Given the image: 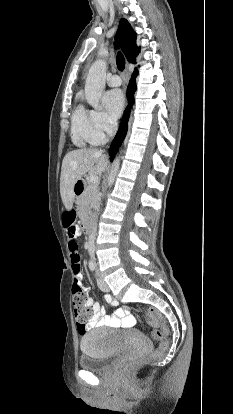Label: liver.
I'll return each instance as SVG.
<instances>
[{
  "label": "liver",
  "instance_id": "6515ba94",
  "mask_svg": "<svg viewBox=\"0 0 233 414\" xmlns=\"http://www.w3.org/2000/svg\"><path fill=\"white\" fill-rule=\"evenodd\" d=\"M108 166V157L97 149H77L67 153L62 161L60 194L67 210L74 202V185L85 173L100 176Z\"/></svg>",
  "mask_w": 233,
  "mask_h": 414
}]
</instances>
